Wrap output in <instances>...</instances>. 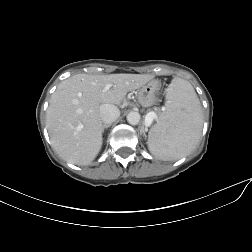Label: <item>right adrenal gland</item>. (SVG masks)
I'll use <instances>...</instances> for the list:
<instances>
[{"mask_svg":"<svg viewBox=\"0 0 252 252\" xmlns=\"http://www.w3.org/2000/svg\"><path fill=\"white\" fill-rule=\"evenodd\" d=\"M110 126H111V124H105V125H103V132H104L105 129L109 128Z\"/></svg>","mask_w":252,"mask_h":252,"instance_id":"2a0ac1e0","label":"right adrenal gland"}]
</instances>
